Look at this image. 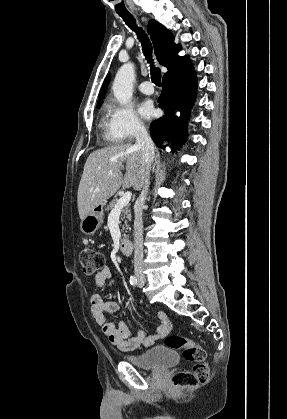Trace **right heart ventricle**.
Listing matches in <instances>:
<instances>
[{"label":"right heart ventricle","mask_w":287,"mask_h":419,"mask_svg":"<svg viewBox=\"0 0 287 419\" xmlns=\"http://www.w3.org/2000/svg\"><path fill=\"white\" fill-rule=\"evenodd\" d=\"M108 111V107H105L100 119L102 134L108 143H118L120 142V139L114 134L112 130L111 117L109 116Z\"/></svg>","instance_id":"e07e8e85"}]
</instances>
